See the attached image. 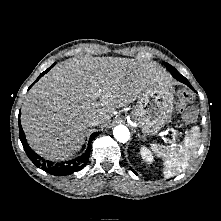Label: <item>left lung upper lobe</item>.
<instances>
[{"label":"left lung upper lobe","mask_w":221,"mask_h":221,"mask_svg":"<svg viewBox=\"0 0 221 221\" xmlns=\"http://www.w3.org/2000/svg\"><path fill=\"white\" fill-rule=\"evenodd\" d=\"M166 68L171 72V74L174 76V75H177V74H180L173 66H171L170 64L168 63H164Z\"/></svg>","instance_id":"obj_1"}]
</instances>
